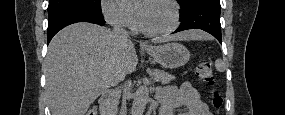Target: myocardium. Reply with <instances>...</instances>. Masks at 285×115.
Returning a JSON list of instances; mask_svg holds the SVG:
<instances>
[{"label":"myocardium","mask_w":285,"mask_h":115,"mask_svg":"<svg viewBox=\"0 0 285 115\" xmlns=\"http://www.w3.org/2000/svg\"><path fill=\"white\" fill-rule=\"evenodd\" d=\"M151 1H164L168 3L171 6L172 11H173L174 23L172 27L169 29L162 30V31H152V30H148L147 28H145L140 19L138 23L139 29L143 33L150 35V36H165V35H169L173 33L174 31H176L180 25V20H181L180 8H179L178 3L175 0H150L147 2H151Z\"/></svg>","instance_id":"obj_1"}]
</instances>
